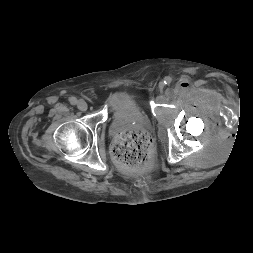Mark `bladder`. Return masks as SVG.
Returning <instances> with one entry per match:
<instances>
[{"instance_id":"obj_1","label":"bladder","mask_w":253,"mask_h":253,"mask_svg":"<svg viewBox=\"0 0 253 253\" xmlns=\"http://www.w3.org/2000/svg\"><path fill=\"white\" fill-rule=\"evenodd\" d=\"M141 102V95L131 88L114 90L108 98V106L114 112L124 111L136 107Z\"/></svg>"}]
</instances>
